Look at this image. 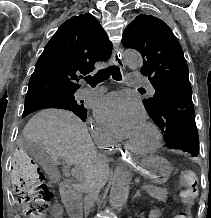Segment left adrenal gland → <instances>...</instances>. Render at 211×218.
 <instances>
[{"mask_svg": "<svg viewBox=\"0 0 211 218\" xmlns=\"http://www.w3.org/2000/svg\"><path fill=\"white\" fill-rule=\"evenodd\" d=\"M140 196H141L140 190H136V194H134L133 200H134V198H140Z\"/></svg>", "mask_w": 211, "mask_h": 218, "instance_id": "a2214340", "label": "left adrenal gland"}]
</instances>
